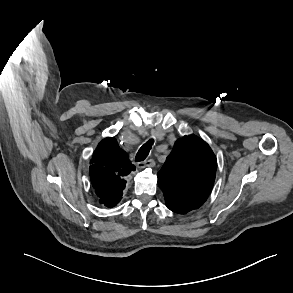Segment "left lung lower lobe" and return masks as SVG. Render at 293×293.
<instances>
[{
    "mask_svg": "<svg viewBox=\"0 0 293 293\" xmlns=\"http://www.w3.org/2000/svg\"><path fill=\"white\" fill-rule=\"evenodd\" d=\"M166 206H167L170 210H172L173 212H175V213H179V214H185V213H187L186 210H184V209H182V208H180V207H177V206H174V205H171V204H166Z\"/></svg>",
    "mask_w": 293,
    "mask_h": 293,
    "instance_id": "1",
    "label": "left lung lower lobe"
}]
</instances>
